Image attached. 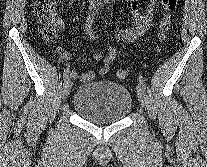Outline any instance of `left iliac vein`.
<instances>
[{
    "mask_svg": "<svg viewBox=\"0 0 207 167\" xmlns=\"http://www.w3.org/2000/svg\"><path fill=\"white\" fill-rule=\"evenodd\" d=\"M137 95H138L140 104L143 107H145L146 106V93L141 83L137 85Z\"/></svg>",
    "mask_w": 207,
    "mask_h": 167,
    "instance_id": "1",
    "label": "left iliac vein"
}]
</instances>
